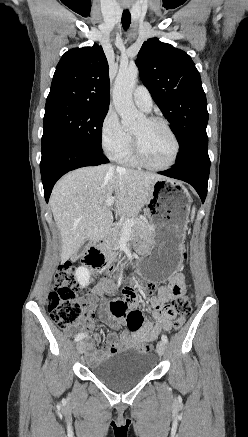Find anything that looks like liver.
Listing matches in <instances>:
<instances>
[{
  "label": "liver",
  "instance_id": "liver-1",
  "mask_svg": "<svg viewBox=\"0 0 248 437\" xmlns=\"http://www.w3.org/2000/svg\"><path fill=\"white\" fill-rule=\"evenodd\" d=\"M160 179L166 178L112 165L79 168L61 178L49 201L60 231L61 261L76 254L87 240L99 242L107 236L113 223L107 198H114L117 214L135 217Z\"/></svg>",
  "mask_w": 248,
  "mask_h": 437
}]
</instances>
